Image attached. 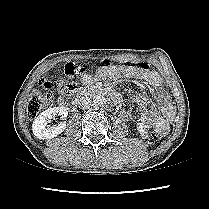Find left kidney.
<instances>
[{
    "label": "left kidney",
    "instance_id": "5707ae66",
    "mask_svg": "<svg viewBox=\"0 0 209 209\" xmlns=\"http://www.w3.org/2000/svg\"><path fill=\"white\" fill-rule=\"evenodd\" d=\"M140 122L137 123V129L140 132L141 135L145 136L148 133V128L145 124V118L141 117V119L139 120Z\"/></svg>",
    "mask_w": 209,
    "mask_h": 209
}]
</instances>
